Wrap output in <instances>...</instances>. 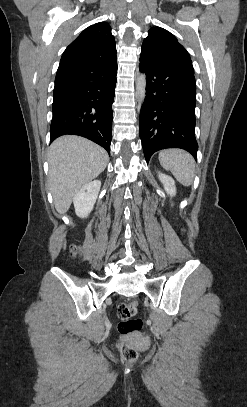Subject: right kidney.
<instances>
[{"label": "right kidney", "mask_w": 247, "mask_h": 407, "mask_svg": "<svg viewBox=\"0 0 247 407\" xmlns=\"http://www.w3.org/2000/svg\"><path fill=\"white\" fill-rule=\"evenodd\" d=\"M101 181L94 180L86 184L80 191L74 196L73 204L75 213L80 218H86L93 210L98 193L100 191Z\"/></svg>", "instance_id": "1"}]
</instances>
